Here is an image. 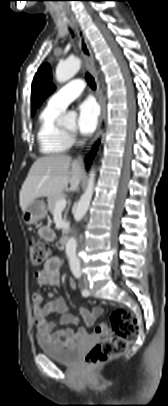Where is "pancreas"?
Here are the masks:
<instances>
[{"instance_id": "pancreas-1", "label": "pancreas", "mask_w": 168, "mask_h": 406, "mask_svg": "<svg viewBox=\"0 0 168 406\" xmlns=\"http://www.w3.org/2000/svg\"><path fill=\"white\" fill-rule=\"evenodd\" d=\"M62 198H64V195H63V194H59V195H57V196H55V197L48 198V210H49L51 213H54V211H55V203H56L58 200L62 199ZM66 217H67V210H66L65 213H64V220H66ZM64 231H65V230L63 229V232H64Z\"/></svg>"}]
</instances>
